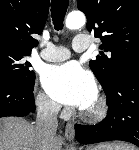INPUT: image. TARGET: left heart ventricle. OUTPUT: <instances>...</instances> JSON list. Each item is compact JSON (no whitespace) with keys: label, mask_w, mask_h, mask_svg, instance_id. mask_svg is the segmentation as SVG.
<instances>
[{"label":"left heart ventricle","mask_w":139,"mask_h":150,"mask_svg":"<svg viewBox=\"0 0 139 150\" xmlns=\"http://www.w3.org/2000/svg\"><path fill=\"white\" fill-rule=\"evenodd\" d=\"M95 103H96V102H94L91 106H89L88 108H86V110H91V109H93L94 106H95Z\"/></svg>","instance_id":"1"}]
</instances>
